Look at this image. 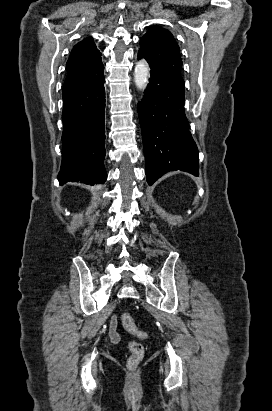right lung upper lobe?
Listing matches in <instances>:
<instances>
[{
    "label": "right lung upper lobe",
    "instance_id": "cb5924a9",
    "mask_svg": "<svg viewBox=\"0 0 272 411\" xmlns=\"http://www.w3.org/2000/svg\"><path fill=\"white\" fill-rule=\"evenodd\" d=\"M67 77L63 97H67L94 86L101 78L104 66L101 53L91 37L77 43L66 63Z\"/></svg>",
    "mask_w": 272,
    "mask_h": 411
}]
</instances>
